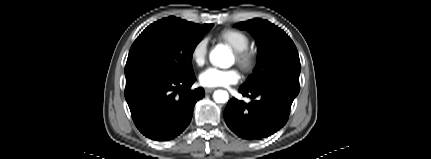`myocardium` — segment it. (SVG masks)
Instances as JSON below:
<instances>
[{
  "label": "myocardium",
  "mask_w": 431,
  "mask_h": 159,
  "mask_svg": "<svg viewBox=\"0 0 431 159\" xmlns=\"http://www.w3.org/2000/svg\"><path fill=\"white\" fill-rule=\"evenodd\" d=\"M234 57L239 67L246 73L252 72L257 64L256 53L248 48L244 50H235Z\"/></svg>",
  "instance_id": "1"
}]
</instances>
